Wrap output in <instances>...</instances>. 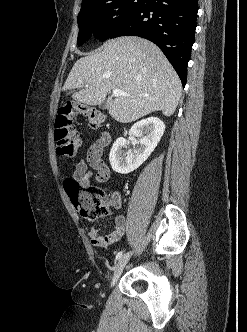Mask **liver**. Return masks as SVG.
Here are the masks:
<instances>
[{"instance_id": "liver-1", "label": "liver", "mask_w": 247, "mask_h": 332, "mask_svg": "<svg viewBox=\"0 0 247 332\" xmlns=\"http://www.w3.org/2000/svg\"><path fill=\"white\" fill-rule=\"evenodd\" d=\"M83 87L73 99L91 106L100 105L114 89L129 94L108 97L106 102L109 114L120 123L154 111L173 115L182 91L177 73L160 49L139 37L108 40L101 51L78 59L64 90Z\"/></svg>"}]
</instances>
